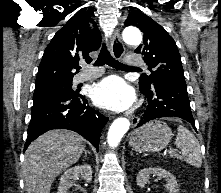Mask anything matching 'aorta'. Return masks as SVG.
I'll return each instance as SVG.
<instances>
[{"instance_id": "obj_1", "label": "aorta", "mask_w": 221, "mask_h": 193, "mask_svg": "<svg viewBox=\"0 0 221 193\" xmlns=\"http://www.w3.org/2000/svg\"><path fill=\"white\" fill-rule=\"evenodd\" d=\"M123 39L128 44L139 45L142 41V35L137 28L127 27L123 32ZM129 128L130 122L127 118L121 117L116 119L108 131L107 142L109 146L116 147Z\"/></svg>"}]
</instances>
